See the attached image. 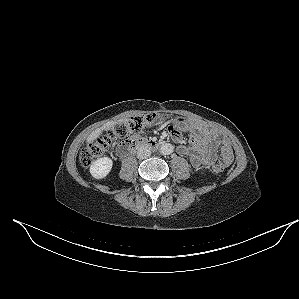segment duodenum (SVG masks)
Wrapping results in <instances>:
<instances>
[{
  "label": "duodenum",
  "mask_w": 299,
  "mask_h": 299,
  "mask_svg": "<svg viewBox=\"0 0 299 299\" xmlns=\"http://www.w3.org/2000/svg\"><path fill=\"white\" fill-rule=\"evenodd\" d=\"M160 146L159 142L153 139L147 138H137L132 139L119 147V153L121 156H126L141 147H148L152 149H156Z\"/></svg>",
  "instance_id": "obj_1"
}]
</instances>
